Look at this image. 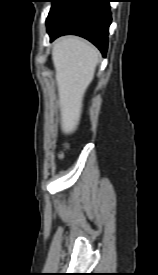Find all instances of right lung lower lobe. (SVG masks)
Here are the masks:
<instances>
[{
    "label": "right lung lower lobe",
    "instance_id": "98d812e1",
    "mask_svg": "<svg viewBox=\"0 0 158 275\" xmlns=\"http://www.w3.org/2000/svg\"><path fill=\"white\" fill-rule=\"evenodd\" d=\"M110 0H60L50 11L47 30L51 41L74 34L88 39L105 56L111 23Z\"/></svg>",
    "mask_w": 158,
    "mask_h": 275
}]
</instances>
